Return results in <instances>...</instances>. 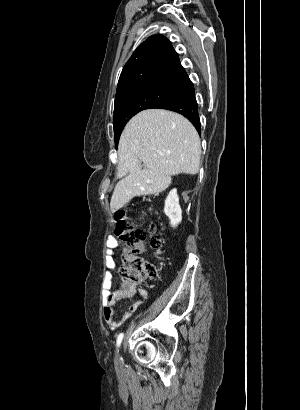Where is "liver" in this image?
<instances>
[{"label":"liver","instance_id":"obj_1","mask_svg":"<svg viewBox=\"0 0 300 410\" xmlns=\"http://www.w3.org/2000/svg\"><path fill=\"white\" fill-rule=\"evenodd\" d=\"M200 155L199 135L185 117L163 109L138 113L127 123L119 140L121 180L111 198V212L135 196L159 194L168 188L174 175L197 174Z\"/></svg>","mask_w":300,"mask_h":410}]
</instances>
